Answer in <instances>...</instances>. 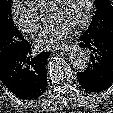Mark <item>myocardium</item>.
Here are the masks:
<instances>
[{"label": "myocardium", "instance_id": "f54148a6", "mask_svg": "<svg viewBox=\"0 0 113 113\" xmlns=\"http://www.w3.org/2000/svg\"><path fill=\"white\" fill-rule=\"evenodd\" d=\"M60 1L61 0H52L48 5L47 10L55 8L60 3ZM93 13H94V1L87 0L86 14H85L84 18L77 24V26L75 28L77 30H79V29H82L83 27H85L86 25H88V23L92 19Z\"/></svg>", "mask_w": 113, "mask_h": 113}]
</instances>
